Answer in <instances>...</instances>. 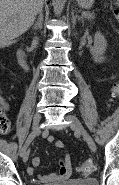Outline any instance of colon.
<instances>
[{"label":"colon","instance_id":"colon-1","mask_svg":"<svg viewBox=\"0 0 119 185\" xmlns=\"http://www.w3.org/2000/svg\"><path fill=\"white\" fill-rule=\"evenodd\" d=\"M115 16L119 19V10H115ZM119 94V84H115L112 87L111 90V96L112 98H116ZM10 130V121L6 114L2 110V106L0 104V132L1 133H7ZM78 171L84 175H90L94 171V164L92 161H85L83 162L79 168Z\"/></svg>","mask_w":119,"mask_h":185}]
</instances>
